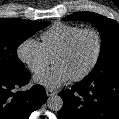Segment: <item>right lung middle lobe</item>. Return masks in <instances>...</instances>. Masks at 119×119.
Returning a JSON list of instances; mask_svg holds the SVG:
<instances>
[{"label":"right lung middle lobe","mask_w":119,"mask_h":119,"mask_svg":"<svg viewBox=\"0 0 119 119\" xmlns=\"http://www.w3.org/2000/svg\"><path fill=\"white\" fill-rule=\"evenodd\" d=\"M49 22L0 19V76L19 74L26 68L17 57L18 46Z\"/></svg>","instance_id":"obj_1"}]
</instances>
